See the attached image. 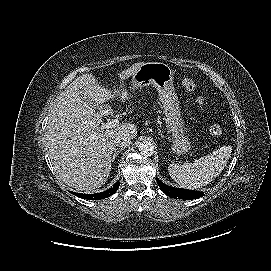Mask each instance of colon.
Listing matches in <instances>:
<instances>
[{
	"label": "colon",
	"mask_w": 271,
	"mask_h": 271,
	"mask_svg": "<svg viewBox=\"0 0 271 271\" xmlns=\"http://www.w3.org/2000/svg\"><path fill=\"white\" fill-rule=\"evenodd\" d=\"M183 88L188 92H194L196 90V83L190 78H184L182 80ZM209 133L213 137H218L223 133V127L218 124H212L209 128Z\"/></svg>",
	"instance_id": "colon-1"
}]
</instances>
